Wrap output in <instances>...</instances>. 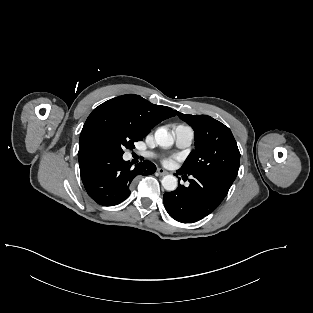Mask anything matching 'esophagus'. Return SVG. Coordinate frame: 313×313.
I'll return each mask as SVG.
<instances>
[{"label": "esophagus", "mask_w": 313, "mask_h": 313, "mask_svg": "<svg viewBox=\"0 0 313 313\" xmlns=\"http://www.w3.org/2000/svg\"><path fill=\"white\" fill-rule=\"evenodd\" d=\"M157 173L160 175V176H164V175H167L168 172L162 168H158L157 169Z\"/></svg>", "instance_id": "obj_1"}]
</instances>
